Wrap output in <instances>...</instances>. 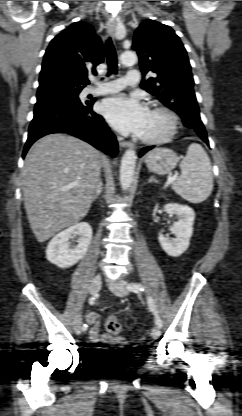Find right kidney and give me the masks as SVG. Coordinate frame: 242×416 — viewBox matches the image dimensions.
Wrapping results in <instances>:
<instances>
[{"label": "right kidney", "mask_w": 242, "mask_h": 416, "mask_svg": "<svg viewBox=\"0 0 242 416\" xmlns=\"http://www.w3.org/2000/svg\"><path fill=\"white\" fill-rule=\"evenodd\" d=\"M79 236L78 244L70 246L69 239ZM92 239V228L86 222L73 225L58 233L48 244L46 258L60 268L75 265L86 254Z\"/></svg>", "instance_id": "right-kidney-1"}]
</instances>
